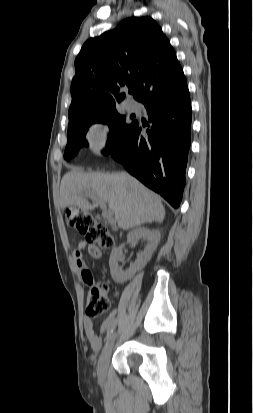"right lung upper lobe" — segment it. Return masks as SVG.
Wrapping results in <instances>:
<instances>
[{
  "label": "right lung upper lobe",
  "instance_id": "right-lung-upper-lobe-1",
  "mask_svg": "<svg viewBox=\"0 0 253 413\" xmlns=\"http://www.w3.org/2000/svg\"><path fill=\"white\" fill-rule=\"evenodd\" d=\"M75 69L69 121L115 106L125 98L120 93L124 86L141 103L187 86L169 40L148 16L127 18L114 30L87 40Z\"/></svg>",
  "mask_w": 253,
  "mask_h": 413
}]
</instances>
